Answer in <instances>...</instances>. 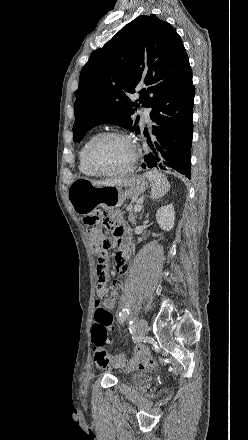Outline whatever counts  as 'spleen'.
Listing matches in <instances>:
<instances>
[{
    "label": "spleen",
    "instance_id": "3e777b00",
    "mask_svg": "<svg viewBox=\"0 0 248 440\" xmlns=\"http://www.w3.org/2000/svg\"><path fill=\"white\" fill-rule=\"evenodd\" d=\"M144 176L151 182L153 199H159L169 191L170 184L163 173L155 170L146 172Z\"/></svg>",
    "mask_w": 248,
    "mask_h": 440
}]
</instances>
